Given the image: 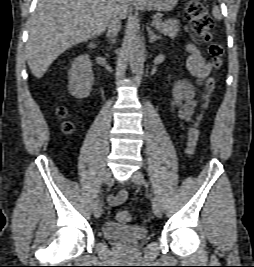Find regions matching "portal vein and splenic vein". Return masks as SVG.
I'll return each instance as SVG.
<instances>
[{
	"label": "portal vein and splenic vein",
	"instance_id": "1",
	"mask_svg": "<svg viewBox=\"0 0 254 267\" xmlns=\"http://www.w3.org/2000/svg\"><path fill=\"white\" fill-rule=\"evenodd\" d=\"M161 22H162L161 19H156V20H153V21H152L151 25H152V26H158Z\"/></svg>",
	"mask_w": 254,
	"mask_h": 267
}]
</instances>
